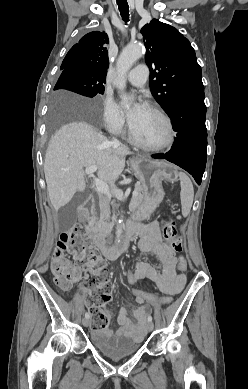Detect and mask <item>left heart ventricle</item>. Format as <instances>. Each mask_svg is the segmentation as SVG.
<instances>
[{
    "mask_svg": "<svg viewBox=\"0 0 248 389\" xmlns=\"http://www.w3.org/2000/svg\"><path fill=\"white\" fill-rule=\"evenodd\" d=\"M131 128L138 140L149 145L160 144L167 136L164 121L147 108L131 123Z\"/></svg>",
    "mask_w": 248,
    "mask_h": 389,
    "instance_id": "1",
    "label": "left heart ventricle"
}]
</instances>
